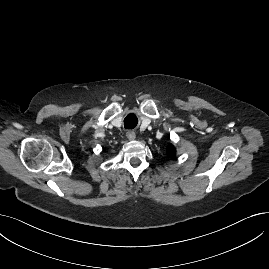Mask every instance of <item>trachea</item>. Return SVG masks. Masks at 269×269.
<instances>
[{
    "instance_id": "trachea-1",
    "label": "trachea",
    "mask_w": 269,
    "mask_h": 269,
    "mask_svg": "<svg viewBox=\"0 0 269 269\" xmlns=\"http://www.w3.org/2000/svg\"><path fill=\"white\" fill-rule=\"evenodd\" d=\"M137 118L135 115L130 114L124 119V127L127 129H133L137 125Z\"/></svg>"
}]
</instances>
